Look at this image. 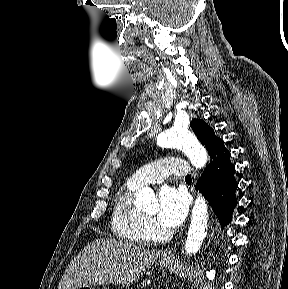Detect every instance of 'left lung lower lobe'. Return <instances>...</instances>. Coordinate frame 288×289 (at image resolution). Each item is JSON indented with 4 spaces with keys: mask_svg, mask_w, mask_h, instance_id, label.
Returning <instances> with one entry per match:
<instances>
[{
    "mask_svg": "<svg viewBox=\"0 0 288 289\" xmlns=\"http://www.w3.org/2000/svg\"><path fill=\"white\" fill-rule=\"evenodd\" d=\"M209 155L210 163L198 180L196 189L209 201L224 226L231 221L232 212L237 205L235 167L230 161L231 154L225 148L223 140L217 142Z\"/></svg>",
    "mask_w": 288,
    "mask_h": 289,
    "instance_id": "1",
    "label": "left lung lower lobe"
}]
</instances>
